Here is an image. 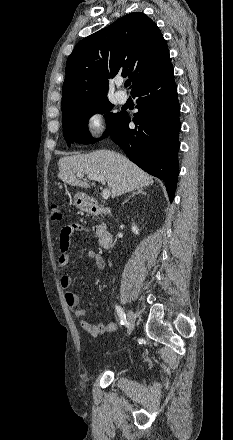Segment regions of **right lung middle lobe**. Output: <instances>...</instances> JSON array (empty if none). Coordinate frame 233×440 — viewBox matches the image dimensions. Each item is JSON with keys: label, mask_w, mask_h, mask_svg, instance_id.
Masks as SVG:
<instances>
[{"label": "right lung middle lobe", "mask_w": 233, "mask_h": 440, "mask_svg": "<svg viewBox=\"0 0 233 440\" xmlns=\"http://www.w3.org/2000/svg\"><path fill=\"white\" fill-rule=\"evenodd\" d=\"M112 107L113 105L108 101L107 97H104L62 108L63 133L68 146L73 142L80 144L97 142L98 139L91 137L87 129L88 119L97 112L107 113ZM123 115L124 112L108 113L105 115L108 127L104 137L115 130Z\"/></svg>", "instance_id": "1"}]
</instances>
